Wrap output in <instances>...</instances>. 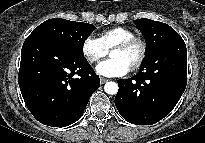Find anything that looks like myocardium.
Instances as JSON below:
<instances>
[{"label": "myocardium", "mask_w": 205, "mask_h": 143, "mask_svg": "<svg viewBox=\"0 0 205 143\" xmlns=\"http://www.w3.org/2000/svg\"><path fill=\"white\" fill-rule=\"evenodd\" d=\"M133 46H137L139 48V56L137 60L132 64L129 70L135 71L139 69L144 63L147 55V44L140 37H132L122 42L117 43L110 49V53L114 50H127Z\"/></svg>", "instance_id": "f54148a6"}]
</instances>
